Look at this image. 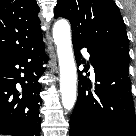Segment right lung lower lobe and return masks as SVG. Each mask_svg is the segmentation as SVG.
Segmentation results:
<instances>
[{
    "instance_id": "obj_1",
    "label": "right lung lower lobe",
    "mask_w": 136,
    "mask_h": 136,
    "mask_svg": "<svg viewBox=\"0 0 136 136\" xmlns=\"http://www.w3.org/2000/svg\"><path fill=\"white\" fill-rule=\"evenodd\" d=\"M46 61L42 37L12 55L0 57V134L40 136L38 79ZM17 83L21 90H17Z\"/></svg>"
}]
</instances>
